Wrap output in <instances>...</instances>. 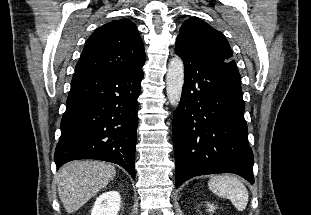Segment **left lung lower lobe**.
<instances>
[{
	"mask_svg": "<svg viewBox=\"0 0 311 215\" xmlns=\"http://www.w3.org/2000/svg\"><path fill=\"white\" fill-rule=\"evenodd\" d=\"M175 52L185 66L172 128L176 187L215 173H236L253 183L241 82L178 42Z\"/></svg>",
	"mask_w": 311,
	"mask_h": 215,
	"instance_id": "0a47b994",
	"label": "left lung lower lobe"
}]
</instances>
